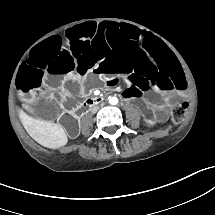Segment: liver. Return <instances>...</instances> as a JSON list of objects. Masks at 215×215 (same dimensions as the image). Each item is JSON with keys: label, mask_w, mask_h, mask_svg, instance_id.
Instances as JSON below:
<instances>
[{"label": "liver", "mask_w": 215, "mask_h": 215, "mask_svg": "<svg viewBox=\"0 0 215 215\" xmlns=\"http://www.w3.org/2000/svg\"><path fill=\"white\" fill-rule=\"evenodd\" d=\"M19 117L27 133L40 145L56 149L67 144V135L60 124L35 119L22 110Z\"/></svg>", "instance_id": "1"}]
</instances>
